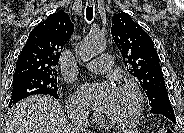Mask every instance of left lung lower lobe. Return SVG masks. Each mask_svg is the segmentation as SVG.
<instances>
[{
	"label": "left lung lower lobe",
	"mask_w": 184,
	"mask_h": 133,
	"mask_svg": "<svg viewBox=\"0 0 184 133\" xmlns=\"http://www.w3.org/2000/svg\"><path fill=\"white\" fill-rule=\"evenodd\" d=\"M150 113L159 114L167 117L172 122L176 123L174 110L170 103H161L151 108Z\"/></svg>",
	"instance_id": "obj_1"
}]
</instances>
